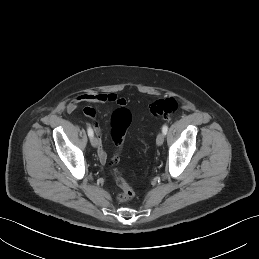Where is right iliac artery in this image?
Masks as SVG:
<instances>
[{
  "instance_id": "right-iliac-artery-1",
  "label": "right iliac artery",
  "mask_w": 259,
  "mask_h": 259,
  "mask_svg": "<svg viewBox=\"0 0 259 259\" xmlns=\"http://www.w3.org/2000/svg\"><path fill=\"white\" fill-rule=\"evenodd\" d=\"M87 130L89 137H93V130L90 127Z\"/></svg>"
}]
</instances>
